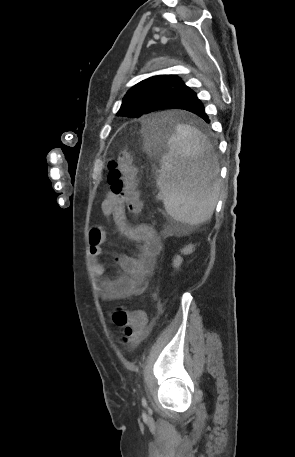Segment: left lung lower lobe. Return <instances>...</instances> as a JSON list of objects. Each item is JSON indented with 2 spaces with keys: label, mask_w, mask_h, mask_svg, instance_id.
I'll return each instance as SVG.
<instances>
[{
  "label": "left lung lower lobe",
  "mask_w": 295,
  "mask_h": 457,
  "mask_svg": "<svg viewBox=\"0 0 295 457\" xmlns=\"http://www.w3.org/2000/svg\"><path fill=\"white\" fill-rule=\"evenodd\" d=\"M177 108L190 111L199 117H201L206 122H209L208 116L205 113L204 106L202 102L197 98L196 93L190 88L181 90L180 92L166 97L164 100H161L153 109V111L161 109ZM152 111V112H153ZM167 128L165 123H156L151 125V130L153 132H160Z\"/></svg>",
  "instance_id": "0a47b994"
}]
</instances>
